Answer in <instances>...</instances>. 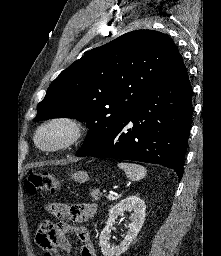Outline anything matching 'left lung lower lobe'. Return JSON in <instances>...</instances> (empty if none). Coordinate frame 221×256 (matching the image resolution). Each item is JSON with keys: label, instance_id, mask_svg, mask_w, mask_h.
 Returning <instances> with one entry per match:
<instances>
[{"label": "left lung lower lobe", "instance_id": "left-lung-lower-lobe-1", "mask_svg": "<svg viewBox=\"0 0 221 256\" xmlns=\"http://www.w3.org/2000/svg\"><path fill=\"white\" fill-rule=\"evenodd\" d=\"M191 102L192 88L184 66L155 87L117 125L103 131L94 143L81 147L76 156L159 164L181 178L192 121Z\"/></svg>", "mask_w": 221, "mask_h": 256}]
</instances>
